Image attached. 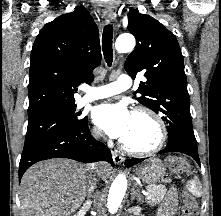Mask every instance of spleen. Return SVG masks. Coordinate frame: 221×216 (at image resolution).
Segmentation results:
<instances>
[{
	"instance_id": "3e777b00",
	"label": "spleen",
	"mask_w": 221,
	"mask_h": 216,
	"mask_svg": "<svg viewBox=\"0 0 221 216\" xmlns=\"http://www.w3.org/2000/svg\"><path fill=\"white\" fill-rule=\"evenodd\" d=\"M199 182H198V178L195 177V179L193 181L190 182L189 184V189L192 192L193 195L200 197L201 193L199 190Z\"/></svg>"
}]
</instances>
